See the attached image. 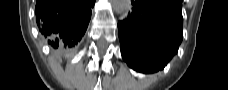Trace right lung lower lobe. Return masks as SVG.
Here are the masks:
<instances>
[{
    "label": "right lung lower lobe",
    "instance_id": "98d812e1",
    "mask_svg": "<svg viewBox=\"0 0 228 90\" xmlns=\"http://www.w3.org/2000/svg\"><path fill=\"white\" fill-rule=\"evenodd\" d=\"M95 0H37L36 22L52 49L65 53L84 35Z\"/></svg>",
    "mask_w": 228,
    "mask_h": 90
}]
</instances>
